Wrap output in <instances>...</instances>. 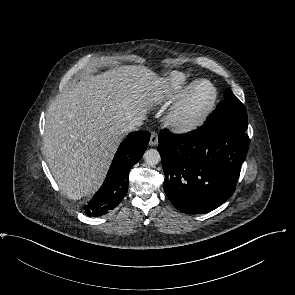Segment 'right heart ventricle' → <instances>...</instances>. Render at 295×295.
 Returning <instances> with one entry per match:
<instances>
[{
	"label": "right heart ventricle",
	"mask_w": 295,
	"mask_h": 295,
	"mask_svg": "<svg viewBox=\"0 0 295 295\" xmlns=\"http://www.w3.org/2000/svg\"><path fill=\"white\" fill-rule=\"evenodd\" d=\"M192 83L182 72L171 71L161 76L152 89V100L156 104H167L178 98Z\"/></svg>",
	"instance_id": "right-heart-ventricle-1"
}]
</instances>
